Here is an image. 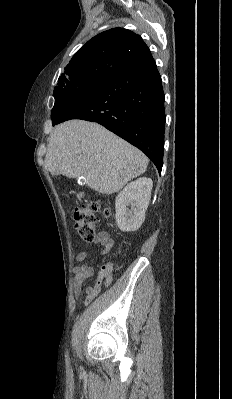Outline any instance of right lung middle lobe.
<instances>
[{"label":"right lung middle lobe","instance_id":"dd1d6c3e","mask_svg":"<svg viewBox=\"0 0 232 399\" xmlns=\"http://www.w3.org/2000/svg\"><path fill=\"white\" fill-rule=\"evenodd\" d=\"M106 81L105 78L85 77L67 84L64 89L54 94L55 104L51 111L52 122L55 123L60 111L68 102L82 99Z\"/></svg>","mask_w":232,"mask_h":399}]
</instances>
